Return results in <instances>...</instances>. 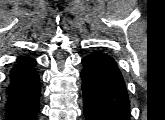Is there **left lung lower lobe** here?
<instances>
[{
    "mask_svg": "<svg viewBox=\"0 0 165 120\" xmlns=\"http://www.w3.org/2000/svg\"><path fill=\"white\" fill-rule=\"evenodd\" d=\"M83 112L86 120H130V101L114 59L94 52L82 59Z\"/></svg>",
    "mask_w": 165,
    "mask_h": 120,
    "instance_id": "0a47b994",
    "label": "left lung lower lobe"
}]
</instances>
